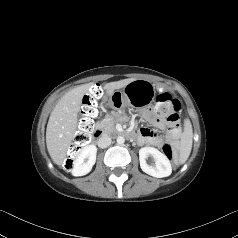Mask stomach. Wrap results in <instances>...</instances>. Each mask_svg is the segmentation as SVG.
Masks as SVG:
<instances>
[{"label": "stomach", "instance_id": "0dacf381", "mask_svg": "<svg viewBox=\"0 0 238 238\" xmlns=\"http://www.w3.org/2000/svg\"><path fill=\"white\" fill-rule=\"evenodd\" d=\"M155 98V87L148 80L135 79L128 83L123 90L113 93L109 104L120 109L128 103L131 106H149Z\"/></svg>", "mask_w": 238, "mask_h": 238}]
</instances>
